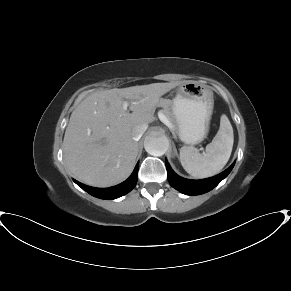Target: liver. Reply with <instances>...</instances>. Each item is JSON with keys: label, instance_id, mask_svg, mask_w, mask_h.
Instances as JSON below:
<instances>
[{"label": "liver", "instance_id": "liver-1", "mask_svg": "<svg viewBox=\"0 0 291 291\" xmlns=\"http://www.w3.org/2000/svg\"><path fill=\"white\" fill-rule=\"evenodd\" d=\"M178 84L114 88L86 97L72 112L63 140L65 163L73 176L95 187L113 186L128 178L139 148L132 129L148 127L160 97ZM124 102L132 113L123 109Z\"/></svg>", "mask_w": 291, "mask_h": 291}]
</instances>
